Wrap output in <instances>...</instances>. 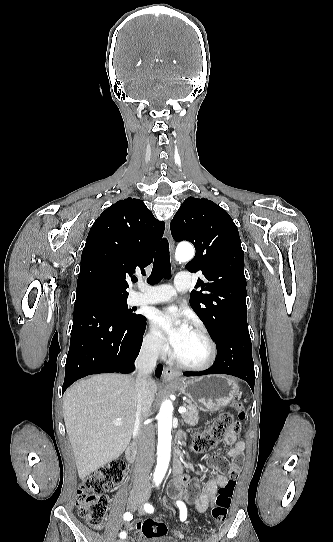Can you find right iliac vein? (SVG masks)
I'll return each instance as SVG.
<instances>
[{"mask_svg": "<svg viewBox=\"0 0 333 542\" xmlns=\"http://www.w3.org/2000/svg\"><path fill=\"white\" fill-rule=\"evenodd\" d=\"M138 502L135 501V500H130V502L128 503V508L132 511L136 510V508L138 507ZM126 542V541H125Z\"/></svg>", "mask_w": 333, "mask_h": 542, "instance_id": "63e3f726", "label": "right iliac vein"}]
</instances>
